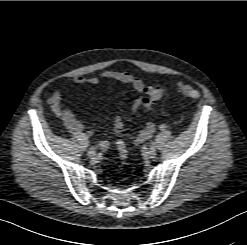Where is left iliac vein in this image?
<instances>
[{
	"label": "left iliac vein",
	"instance_id": "1",
	"mask_svg": "<svg viewBox=\"0 0 247 245\" xmlns=\"http://www.w3.org/2000/svg\"><path fill=\"white\" fill-rule=\"evenodd\" d=\"M156 144L155 143H152L149 148H148V155L149 156H154L155 153H156Z\"/></svg>",
	"mask_w": 247,
	"mask_h": 245
}]
</instances>
